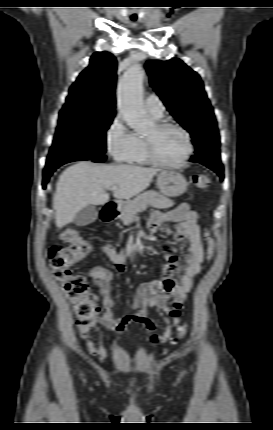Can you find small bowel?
Listing matches in <instances>:
<instances>
[{"mask_svg":"<svg viewBox=\"0 0 273 430\" xmlns=\"http://www.w3.org/2000/svg\"><path fill=\"white\" fill-rule=\"evenodd\" d=\"M197 219V212L192 210L188 203H181L165 211H155L150 216L148 225L154 233L160 231L168 222L178 223L175 239L180 244H186L187 247L184 265L178 263L174 254L167 252L165 254L167 263L163 268L165 277L138 288L131 304V308L135 310L134 314L115 318L113 313L114 301L111 297L112 271L103 266H96L86 272V275L93 280L101 296L102 314L97 321L100 325L122 335L126 327L134 322L143 325L148 332L153 333L156 326L148 317V311L154 309L164 319L165 327L161 335L151 334L150 341L153 344L157 345L170 340L174 329L178 331V334L181 332L185 334L187 326L180 325L179 308L193 288L194 279L200 272L204 255ZM157 245L168 251L164 243L157 241ZM102 249L118 273H123L125 270V251L117 252L108 244H105ZM178 276H180V280H178ZM95 331L98 332V328H95ZM87 348L91 354L100 359H106L108 356L100 339L97 343L87 341Z\"/></svg>","mask_w":273,"mask_h":430,"instance_id":"1","label":"small bowel"}]
</instances>
